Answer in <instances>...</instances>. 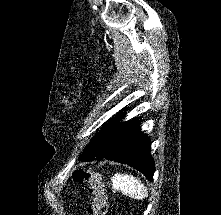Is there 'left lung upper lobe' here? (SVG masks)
<instances>
[{"instance_id":"5c2ea615","label":"left lung upper lobe","mask_w":221,"mask_h":215,"mask_svg":"<svg viewBox=\"0 0 221 215\" xmlns=\"http://www.w3.org/2000/svg\"><path fill=\"white\" fill-rule=\"evenodd\" d=\"M121 118H123L122 111L118 113L117 117L111 123H108L104 129L97 134L78 159L80 161H92L100 158L104 154L109 138Z\"/></svg>"}]
</instances>
